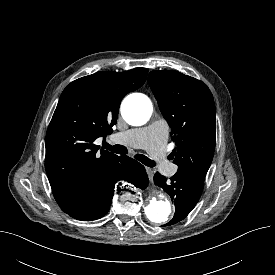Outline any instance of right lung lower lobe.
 Returning a JSON list of instances; mask_svg holds the SVG:
<instances>
[{
  "label": "right lung lower lobe",
  "mask_w": 275,
  "mask_h": 275,
  "mask_svg": "<svg viewBox=\"0 0 275 275\" xmlns=\"http://www.w3.org/2000/svg\"><path fill=\"white\" fill-rule=\"evenodd\" d=\"M120 180H125L141 189L146 188L148 184V176L144 166L128 156H120L107 172V175L88 186L79 203L74 208L64 212L83 221L103 217L109 211L115 183Z\"/></svg>",
  "instance_id": "obj_1"
}]
</instances>
